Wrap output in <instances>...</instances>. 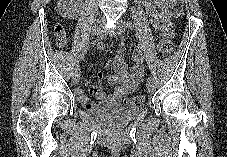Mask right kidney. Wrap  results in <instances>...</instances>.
Instances as JSON below:
<instances>
[{
	"instance_id": "obj_1",
	"label": "right kidney",
	"mask_w": 227,
	"mask_h": 157,
	"mask_svg": "<svg viewBox=\"0 0 227 157\" xmlns=\"http://www.w3.org/2000/svg\"><path fill=\"white\" fill-rule=\"evenodd\" d=\"M67 2L68 1H66V0H60L59 6L57 7V10L61 13V15L63 17H68V18L74 19V18L77 17L76 8L73 7V6H69L67 4Z\"/></svg>"
}]
</instances>
